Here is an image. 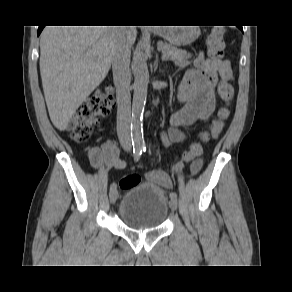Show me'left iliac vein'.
Here are the masks:
<instances>
[{"mask_svg": "<svg viewBox=\"0 0 292 292\" xmlns=\"http://www.w3.org/2000/svg\"><path fill=\"white\" fill-rule=\"evenodd\" d=\"M169 205L171 210L175 211L177 209V200H171Z\"/></svg>", "mask_w": 292, "mask_h": 292, "instance_id": "1", "label": "left iliac vein"}]
</instances>
